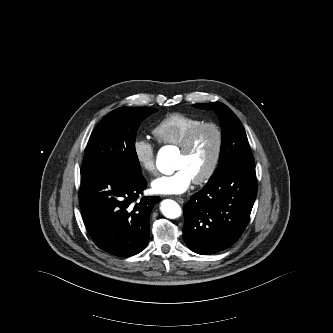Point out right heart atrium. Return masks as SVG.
<instances>
[{
  "label": "right heart atrium",
  "instance_id": "right-heart-atrium-1",
  "mask_svg": "<svg viewBox=\"0 0 333 333\" xmlns=\"http://www.w3.org/2000/svg\"><path fill=\"white\" fill-rule=\"evenodd\" d=\"M133 154L137 164L149 174L156 173L155 147L145 137H137L133 142Z\"/></svg>",
  "mask_w": 333,
  "mask_h": 333
}]
</instances>
